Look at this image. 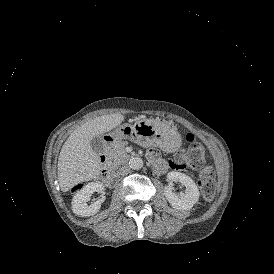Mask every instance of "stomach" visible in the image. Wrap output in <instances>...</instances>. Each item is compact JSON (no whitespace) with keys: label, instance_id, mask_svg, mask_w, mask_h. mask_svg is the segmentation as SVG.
<instances>
[{"label":"stomach","instance_id":"0dacf381","mask_svg":"<svg viewBox=\"0 0 274 274\" xmlns=\"http://www.w3.org/2000/svg\"><path fill=\"white\" fill-rule=\"evenodd\" d=\"M109 135L114 143L129 139L143 147L157 146L168 153L177 151L181 146V138L175 127L159 119L143 118L133 125L125 123Z\"/></svg>","mask_w":274,"mask_h":274}]
</instances>
